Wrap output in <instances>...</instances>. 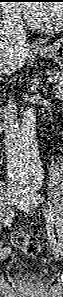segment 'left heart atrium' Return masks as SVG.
Instances as JSON below:
<instances>
[{
    "label": "left heart atrium",
    "instance_id": "1",
    "mask_svg": "<svg viewBox=\"0 0 63 297\" xmlns=\"http://www.w3.org/2000/svg\"><path fill=\"white\" fill-rule=\"evenodd\" d=\"M21 9L28 17L32 18L33 20H37L41 13L39 12V9L33 5H22Z\"/></svg>",
    "mask_w": 63,
    "mask_h": 297
}]
</instances>
